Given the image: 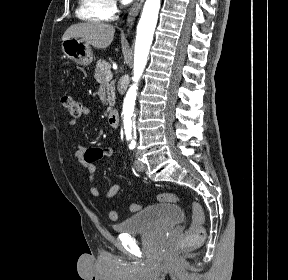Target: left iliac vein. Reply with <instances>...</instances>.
Listing matches in <instances>:
<instances>
[{"instance_id":"left-iliac-vein-1","label":"left iliac vein","mask_w":288,"mask_h":280,"mask_svg":"<svg viewBox=\"0 0 288 280\" xmlns=\"http://www.w3.org/2000/svg\"><path fill=\"white\" fill-rule=\"evenodd\" d=\"M135 167H136V169H138V170H142V169H143V164L136 159V160H135Z\"/></svg>"}]
</instances>
